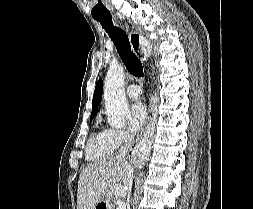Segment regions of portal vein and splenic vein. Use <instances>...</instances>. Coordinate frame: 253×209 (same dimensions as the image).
Segmentation results:
<instances>
[{
    "instance_id": "obj_1",
    "label": "portal vein and splenic vein",
    "mask_w": 253,
    "mask_h": 209,
    "mask_svg": "<svg viewBox=\"0 0 253 209\" xmlns=\"http://www.w3.org/2000/svg\"><path fill=\"white\" fill-rule=\"evenodd\" d=\"M120 187H116L115 188V194H118L119 191H120ZM117 209H126V204L125 203H120L118 206H117Z\"/></svg>"
}]
</instances>
